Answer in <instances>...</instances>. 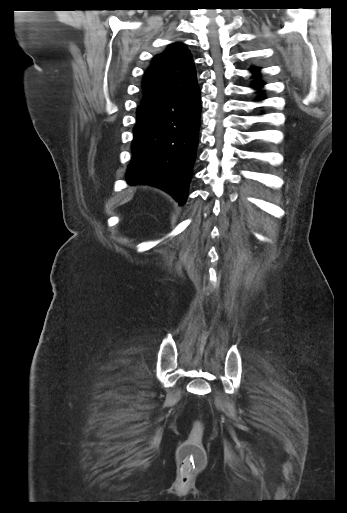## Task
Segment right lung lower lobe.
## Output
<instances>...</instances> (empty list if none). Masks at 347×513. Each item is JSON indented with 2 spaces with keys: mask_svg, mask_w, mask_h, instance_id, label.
<instances>
[{
  "mask_svg": "<svg viewBox=\"0 0 347 513\" xmlns=\"http://www.w3.org/2000/svg\"><path fill=\"white\" fill-rule=\"evenodd\" d=\"M198 85L158 99L142 100L132 142L128 184H149L183 205L187 198L200 127Z\"/></svg>",
  "mask_w": 347,
  "mask_h": 513,
  "instance_id": "98d812e1",
  "label": "right lung lower lobe"
}]
</instances>
